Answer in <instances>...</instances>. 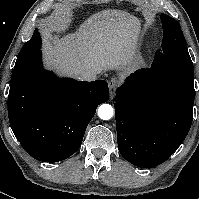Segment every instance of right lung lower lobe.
Returning <instances> with one entry per match:
<instances>
[{
	"label": "right lung lower lobe",
	"instance_id": "1",
	"mask_svg": "<svg viewBox=\"0 0 199 199\" xmlns=\"http://www.w3.org/2000/svg\"><path fill=\"white\" fill-rule=\"evenodd\" d=\"M108 99L106 81L57 79L43 69L39 50L12 72L9 122L29 155L57 162L80 148L97 106Z\"/></svg>",
	"mask_w": 199,
	"mask_h": 199
}]
</instances>
